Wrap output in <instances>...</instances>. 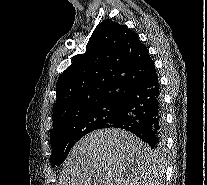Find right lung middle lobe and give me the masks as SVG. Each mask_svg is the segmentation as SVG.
<instances>
[{"label":"right lung middle lobe","mask_w":207,"mask_h":185,"mask_svg":"<svg viewBox=\"0 0 207 185\" xmlns=\"http://www.w3.org/2000/svg\"><path fill=\"white\" fill-rule=\"evenodd\" d=\"M118 103H110L68 117L53 126L51 165L62 164L74 144L87 133L116 121Z\"/></svg>","instance_id":"right-lung-middle-lobe-1"}]
</instances>
